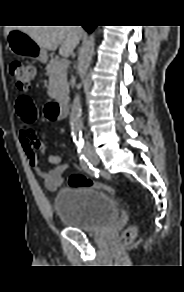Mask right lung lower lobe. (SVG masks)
Wrapping results in <instances>:
<instances>
[{"label":"right lung lower lobe","instance_id":"98d812e1","mask_svg":"<svg viewBox=\"0 0 184 292\" xmlns=\"http://www.w3.org/2000/svg\"><path fill=\"white\" fill-rule=\"evenodd\" d=\"M83 27L89 33L92 32L95 28V26H93V25H83Z\"/></svg>","mask_w":184,"mask_h":292}]
</instances>
